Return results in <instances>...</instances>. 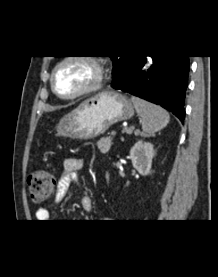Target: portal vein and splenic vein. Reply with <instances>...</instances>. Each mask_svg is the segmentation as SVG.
<instances>
[{"instance_id": "obj_1", "label": "portal vein and splenic vein", "mask_w": 218, "mask_h": 277, "mask_svg": "<svg viewBox=\"0 0 218 277\" xmlns=\"http://www.w3.org/2000/svg\"><path fill=\"white\" fill-rule=\"evenodd\" d=\"M133 130H134V127H133V126L130 127V128H125V131H126L127 133H132ZM115 135H116V131H112V132H111V136H115Z\"/></svg>"}]
</instances>
